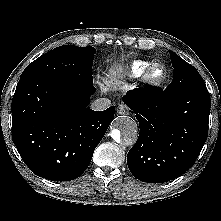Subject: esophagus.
<instances>
[{
    "instance_id": "1",
    "label": "esophagus",
    "mask_w": 221,
    "mask_h": 221,
    "mask_svg": "<svg viewBox=\"0 0 221 221\" xmlns=\"http://www.w3.org/2000/svg\"><path fill=\"white\" fill-rule=\"evenodd\" d=\"M117 113L119 115H128L129 114V108L126 105H119L117 107Z\"/></svg>"
}]
</instances>
